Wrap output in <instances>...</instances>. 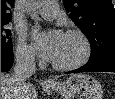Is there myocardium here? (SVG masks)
I'll list each match as a JSON object with an SVG mask.
<instances>
[{
    "mask_svg": "<svg viewBox=\"0 0 115 99\" xmlns=\"http://www.w3.org/2000/svg\"><path fill=\"white\" fill-rule=\"evenodd\" d=\"M64 35L78 38L82 44L83 51L81 56L70 63L60 64L52 61L53 68L57 70H74L85 65L92 55V45L88 37L79 30H69Z\"/></svg>",
    "mask_w": 115,
    "mask_h": 99,
    "instance_id": "obj_1",
    "label": "myocardium"
}]
</instances>
